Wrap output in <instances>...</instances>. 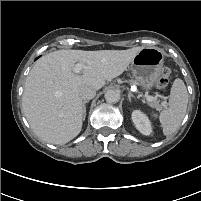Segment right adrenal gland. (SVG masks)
I'll return each mask as SVG.
<instances>
[{"label": "right adrenal gland", "mask_w": 201, "mask_h": 201, "mask_svg": "<svg viewBox=\"0 0 201 201\" xmlns=\"http://www.w3.org/2000/svg\"><path fill=\"white\" fill-rule=\"evenodd\" d=\"M86 103H88L87 100L83 101V120H84L85 117H86Z\"/></svg>", "instance_id": "right-adrenal-gland-1"}]
</instances>
